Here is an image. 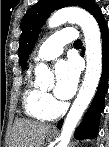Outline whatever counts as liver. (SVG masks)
<instances>
[{
  "label": "liver",
  "mask_w": 109,
  "mask_h": 147,
  "mask_svg": "<svg viewBox=\"0 0 109 147\" xmlns=\"http://www.w3.org/2000/svg\"><path fill=\"white\" fill-rule=\"evenodd\" d=\"M50 127L37 121L17 119L12 128L9 147H42Z\"/></svg>",
  "instance_id": "1"
}]
</instances>
